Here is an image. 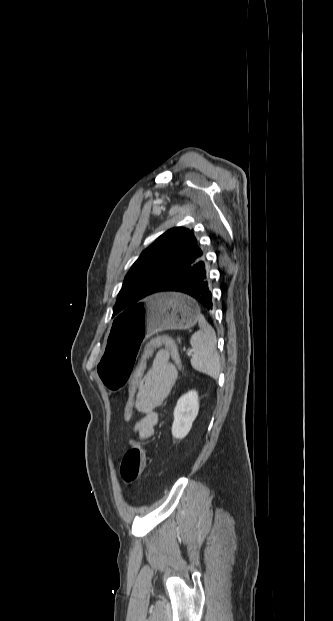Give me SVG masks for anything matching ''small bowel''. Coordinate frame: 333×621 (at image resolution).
<instances>
[{
  "instance_id": "c3829d8e",
  "label": "small bowel",
  "mask_w": 333,
  "mask_h": 621,
  "mask_svg": "<svg viewBox=\"0 0 333 621\" xmlns=\"http://www.w3.org/2000/svg\"><path fill=\"white\" fill-rule=\"evenodd\" d=\"M177 369L170 362L166 350L159 351L151 367L145 373L135 400V409L142 414L133 425V434L141 439H149L154 435V427L158 422L156 408L167 398L177 380ZM131 445H136L133 437Z\"/></svg>"
}]
</instances>
